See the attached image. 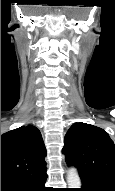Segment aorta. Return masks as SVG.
Instances as JSON below:
<instances>
[{
    "mask_svg": "<svg viewBox=\"0 0 115 191\" xmlns=\"http://www.w3.org/2000/svg\"><path fill=\"white\" fill-rule=\"evenodd\" d=\"M67 183L70 188H79L81 186V179L76 168H69L67 172Z\"/></svg>",
    "mask_w": 115,
    "mask_h": 191,
    "instance_id": "obj_1",
    "label": "aorta"
}]
</instances>
